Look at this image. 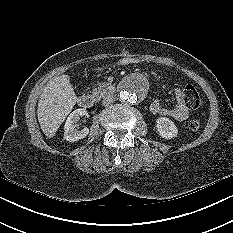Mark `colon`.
Returning <instances> with one entry per match:
<instances>
[{
	"label": "colon",
	"instance_id": "obj_1",
	"mask_svg": "<svg viewBox=\"0 0 233 233\" xmlns=\"http://www.w3.org/2000/svg\"><path fill=\"white\" fill-rule=\"evenodd\" d=\"M185 102L193 109L199 108L201 105V96L193 85H187L183 90ZM202 125L199 117H193L187 122V128L191 131L198 130Z\"/></svg>",
	"mask_w": 233,
	"mask_h": 233
}]
</instances>
